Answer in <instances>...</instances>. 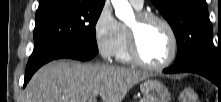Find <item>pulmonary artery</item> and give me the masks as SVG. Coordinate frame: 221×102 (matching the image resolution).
<instances>
[{
  "instance_id": "pulmonary-artery-1",
  "label": "pulmonary artery",
  "mask_w": 221,
  "mask_h": 102,
  "mask_svg": "<svg viewBox=\"0 0 221 102\" xmlns=\"http://www.w3.org/2000/svg\"><path fill=\"white\" fill-rule=\"evenodd\" d=\"M130 2L138 9L142 8L144 3L143 0H130Z\"/></svg>"
}]
</instances>
